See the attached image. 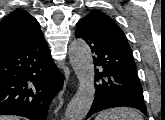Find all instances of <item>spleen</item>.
Masks as SVG:
<instances>
[{
	"instance_id": "spleen-1",
	"label": "spleen",
	"mask_w": 165,
	"mask_h": 120,
	"mask_svg": "<svg viewBox=\"0 0 165 120\" xmlns=\"http://www.w3.org/2000/svg\"><path fill=\"white\" fill-rule=\"evenodd\" d=\"M95 120H143V118L134 109L119 107L102 111Z\"/></svg>"
}]
</instances>
